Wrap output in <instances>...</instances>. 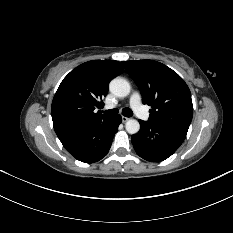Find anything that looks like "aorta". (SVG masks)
Listing matches in <instances>:
<instances>
[{
    "mask_svg": "<svg viewBox=\"0 0 233 233\" xmlns=\"http://www.w3.org/2000/svg\"><path fill=\"white\" fill-rule=\"evenodd\" d=\"M130 84L124 78H114L109 84V90L117 97H126L130 93ZM126 131L129 134H136L140 130V124L135 119H130L125 124Z\"/></svg>",
    "mask_w": 233,
    "mask_h": 233,
    "instance_id": "obj_1",
    "label": "aorta"
}]
</instances>
